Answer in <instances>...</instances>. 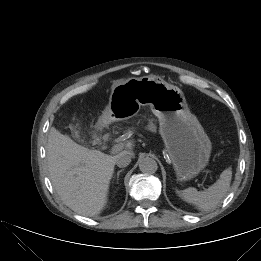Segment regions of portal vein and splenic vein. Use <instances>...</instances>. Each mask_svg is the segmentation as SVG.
Wrapping results in <instances>:
<instances>
[{
    "label": "portal vein and splenic vein",
    "instance_id": "18ae733b",
    "mask_svg": "<svg viewBox=\"0 0 261 261\" xmlns=\"http://www.w3.org/2000/svg\"><path fill=\"white\" fill-rule=\"evenodd\" d=\"M123 148V145L122 144H117L115 146H113L111 149H110V154H116L118 153L120 150H122Z\"/></svg>",
    "mask_w": 261,
    "mask_h": 261
}]
</instances>
